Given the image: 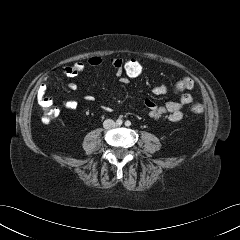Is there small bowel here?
<instances>
[{
	"instance_id": "c3829d8e",
	"label": "small bowel",
	"mask_w": 240,
	"mask_h": 240,
	"mask_svg": "<svg viewBox=\"0 0 240 240\" xmlns=\"http://www.w3.org/2000/svg\"><path fill=\"white\" fill-rule=\"evenodd\" d=\"M104 63L103 59L100 56H91L88 59V65L91 67H100ZM122 63L123 60L120 58H110L108 60V64L114 69L116 76L119 78L122 84H128L129 79L125 77L122 73ZM86 69V65L83 62H75L70 66L59 67L57 71L68 76L75 77L81 73H83ZM67 87L72 91H78L79 86L74 82H70L67 84ZM169 90V86L167 84H159L152 88V92L155 95H162L167 93ZM47 87L45 84H42L38 90L37 101L38 104L42 107H50L53 104V99L46 96ZM84 99L88 102L94 101V96L85 95ZM193 102V96L188 93H184L181 95L179 101H171L167 102L163 105H157L150 99H145L144 105L148 109L149 116L154 120L165 119L170 122H178L183 119L185 116L184 107ZM64 106L67 109L74 110L78 107V102L75 100H65ZM105 111H111L110 107H103Z\"/></svg>"
}]
</instances>
